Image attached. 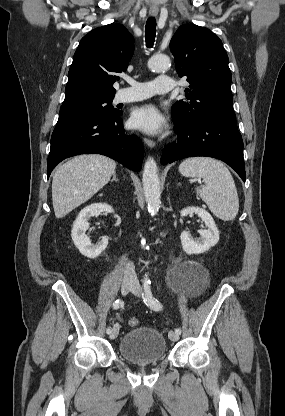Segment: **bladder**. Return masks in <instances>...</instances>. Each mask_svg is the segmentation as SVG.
<instances>
[{
	"label": "bladder",
	"instance_id": "bladder-1",
	"mask_svg": "<svg viewBox=\"0 0 285 416\" xmlns=\"http://www.w3.org/2000/svg\"><path fill=\"white\" fill-rule=\"evenodd\" d=\"M117 347L121 359L129 363L156 364L167 356L165 336L151 326L130 329Z\"/></svg>",
	"mask_w": 285,
	"mask_h": 416
}]
</instances>
